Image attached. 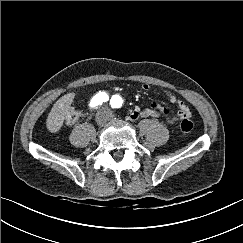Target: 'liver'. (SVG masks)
Returning a JSON list of instances; mask_svg holds the SVG:
<instances>
[{"instance_id":"6515ba94","label":"liver","mask_w":243,"mask_h":243,"mask_svg":"<svg viewBox=\"0 0 243 243\" xmlns=\"http://www.w3.org/2000/svg\"><path fill=\"white\" fill-rule=\"evenodd\" d=\"M74 97L75 93H68L54 103L46 121L47 129L50 132L55 133L62 127Z\"/></svg>"}]
</instances>
